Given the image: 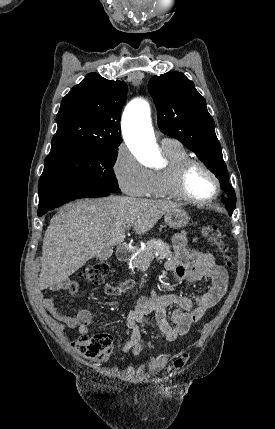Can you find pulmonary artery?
<instances>
[{
  "label": "pulmonary artery",
  "mask_w": 275,
  "mask_h": 429,
  "mask_svg": "<svg viewBox=\"0 0 275 429\" xmlns=\"http://www.w3.org/2000/svg\"><path fill=\"white\" fill-rule=\"evenodd\" d=\"M160 142L162 146L180 144L177 140L170 137H163Z\"/></svg>",
  "instance_id": "pulmonary-artery-1"
}]
</instances>
